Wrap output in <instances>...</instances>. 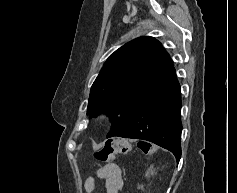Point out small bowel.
I'll return each mask as SVG.
<instances>
[{
	"label": "small bowel",
	"mask_w": 237,
	"mask_h": 193,
	"mask_svg": "<svg viewBox=\"0 0 237 193\" xmlns=\"http://www.w3.org/2000/svg\"><path fill=\"white\" fill-rule=\"evenodd\" d=\"M97 177L105 182V193H120L124 187L122 170L119 165L112 163L101 167L97 172ZM95 183L93 178L85 181V189L87 192L93 191Z\"/></svg>",
	"instance_id": "obj_1"
}]
</instances>
